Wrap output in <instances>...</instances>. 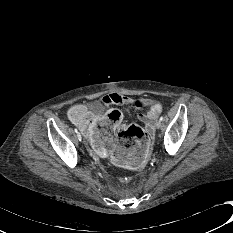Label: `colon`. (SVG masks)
Segmentation results:
<instances>
[{"instance_id": "colon-1", "label": "colon", "mask_w": 233, "mask_h": 233, "mask_svg": "<svg viewBox=\"0 0 233 233\" xmlns=\"http://www.w3.org/2000/svg\"><path fill=\"white\" fill-rule=\"evenodd\" d=\"M81 112L82 109L76 107L72 114L73 120L78 118ZM118 135L121 137V140L126 144L133 143L136 138L141 136L146 138L143 129L136 124H131L128 126L122 124L118 129Z\"/></svg>"}]
</instances>
